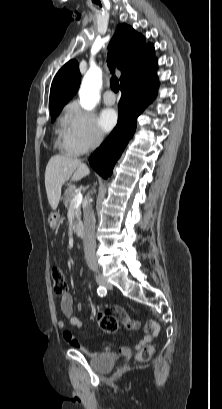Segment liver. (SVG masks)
Instances as JSON below:
<instances>
[{"label":"liver","instance_id":"6515ba94","mask_svg":"<svg viewBox=\"0 0 222 409\" xmlns=\"http://www.w3.org/2000/svg\"><path fill=\"white\" fill-rule=\"evenodd\" d=\"M89 172L80 159L64 155L52 156L45 170V188L51 208L56 210L58 207L61 189L66 181H79Z\"/></svg>","mask_w":222,"mask_h":409}]
</instances>
